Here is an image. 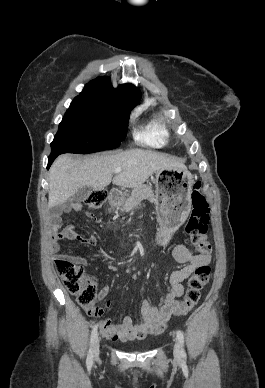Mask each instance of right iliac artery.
Listing matches in <instances>:
<instances>
[{
    "label": "right iliac artery",
    "instance_id": "right-iliac-artery-1",
    "mask_svg": "<svg viewBox=\"0 0 265 388\" xmlns=\"http://www.w3.org/2000/svg\"><path fill=\"white\" fill-rule=\"evenodd\" d=\"M98 326L95 325L91 332V339H90V349L87 355L86 364L88 367H91L93 364V353H92V345L94 343V340L97 336Z\"/></svg>",
    "mask_w": 265,
    "mask_h": 388
}]
</instances>
